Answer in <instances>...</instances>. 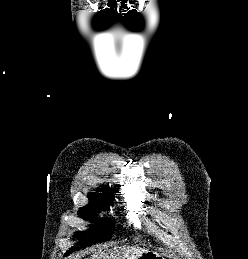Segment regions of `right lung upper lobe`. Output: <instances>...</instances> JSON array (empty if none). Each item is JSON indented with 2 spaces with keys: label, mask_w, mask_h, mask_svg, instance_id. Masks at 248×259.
<instances>
[{
  "label": "right lung upper lobe",
  "mask_w": 248,
  "mask_h": 259,
  "mask_svg": "<svg viewBox=\"0 0 248 259\" xmlns=\"http://www.w3.org/2000/svg\"><path fill=\"white\" fill-rule=\"evenodd\" d=\"M99 191H102L103 193L100 194V193H97V192H90L88 194V198L90 200H94V199H97V198H100V197H111L113 198L110 193L112 192L111 189H107L106 187H102Z\"/></svg>",
  "instance_id": "right-lung-upper-lobe-1"
}]
</instances>
